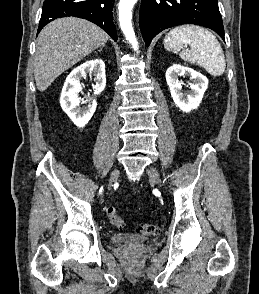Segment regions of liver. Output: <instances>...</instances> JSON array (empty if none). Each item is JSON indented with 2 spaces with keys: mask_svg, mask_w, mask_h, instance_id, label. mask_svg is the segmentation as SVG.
<instances>
[{
  "mask_svg": "<svg viewBox=\"0 0 259 294\" xmlns=\"http://www.w3.org/2000/svg\"><path fill=\"white\" fill-rule=\"evenodd\" d=\"M108 39L103 29L84 19L65 17L52 21L37 40L34 57L37 89L45 91L61 73L104 46Z\"/></svg>",
  "mask_w": 259,
  "mask_h": 294,
  "instance_id": "liver-1",
  "label": "liver"
}]
</instances>
